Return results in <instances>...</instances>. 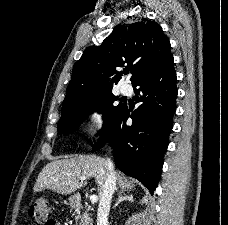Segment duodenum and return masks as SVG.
Segmentation results:
<instances>
[{
	"instance_id": "duodenum-1",
	"label": "duodenum",
	"mask_w": 228,
	"mask_h": 225,
	"mask_svg": "<svg viewBox=\"0 0 228 225\" xmlns=\"http://www.w3.org/2000/svg\"><path fill=\"white\" fill-rule=\"evenodd\" d=\"M71 204L77 210H81L82 209L81 200L78 197H76V196L71 199Z\"/></svg>"
}]
</instances>
